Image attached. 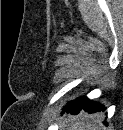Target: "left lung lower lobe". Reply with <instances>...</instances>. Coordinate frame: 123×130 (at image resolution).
Returning <instances> with one entry per match:
<instances>
[{
  "label": "left lung lower lobe",
  "mask_w": 123,
  "mask_h": 130,
  "mask_svg": "<svg viewBox=\"0 0 123 130\" xmlns=\"http://www.w3.org/2000/svg\"><path fill=\"white\" fill-rule=\"evenodd\" d=\"M84 110L86 112L89 113H96V112H105V114L107 115V107H105L102 104H99L97 102H91L89 101L87 98H81L80 103L78 104V106L74 107V108H63L62 112H67V113H71V114H78L81 110ZM104 124L107 126L108 123L106 121H104Z\"/></svg>",
  "instance_id": "1"
}]
</instances>
